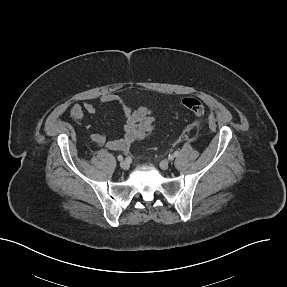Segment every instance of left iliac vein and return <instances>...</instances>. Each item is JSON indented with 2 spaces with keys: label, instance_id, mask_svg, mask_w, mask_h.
<instances>
[{
  "label": "left iliac vein",
  "instance_id": "obj_1",
  "mask_svg": "<svg viewBox=\"0 0 287 287\" xmlns=\"http://www.w3.org/2000/svg\"><path fill=\"white\" fill-rule=\"evenodd\" d=\"M159 167H160L162 170L168 169V167H169V161H168V160H162V161H160Z\"/></svg>",
  "mask_w": 287,
  "mask_h": 287
}]
</instances>
